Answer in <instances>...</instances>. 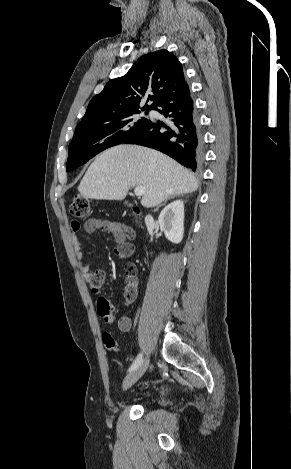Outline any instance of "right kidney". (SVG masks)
Wrapping results in <instances>:
<instances>
[{
    "label": "right kidney",
    "mask_w": 291,
    "mask_h": 469,
    "mask_svg": "<svg viewBox=\"0 0 291 469\" xmlns=\"http://www.w3.org/2000/svg\"><path fill=\"white\" fill-rule=\"evenodd\" d=\"M161 231L172 243H180L184 235V203L181 200L168 204L158 218Z\"/></svg>",
    "instance_id": "1"
}]
</instances>
